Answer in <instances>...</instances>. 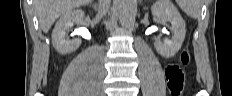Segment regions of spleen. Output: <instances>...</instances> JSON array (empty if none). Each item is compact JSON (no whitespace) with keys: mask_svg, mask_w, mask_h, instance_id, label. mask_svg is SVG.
Wrapping results in <instances>:
<instances>
[{"mask_svg":"<svg viewBox=\"0 0 232 96\" xmlns=\"http://www.w3.org/2000/svg\"><path fill=\"white\" fill-rule=\"evenodd\" d=\"M176 2L189 17L193 19L200 17L202 8L201 0H176Z\"/></svg>","mask_w":232,"mask_h":96,"instance_id":"3e777b00","label":"spleen"}]
</instances>
